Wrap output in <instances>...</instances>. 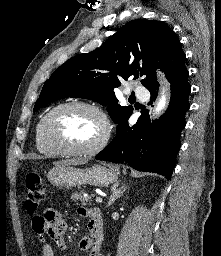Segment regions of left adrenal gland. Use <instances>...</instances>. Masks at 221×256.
I'll return each instance as SVG.
<instances>
[{
  "label": "left adrenal gland",
  "instance_id": "obj_1",
  "mask_svg": "<svg viewBox=\"0 0 221 256\" xmlns=\"http://www.w3.org/2000/svg\"><path fill=\"white\" fill-rule=\"evenodd\" d=\"M126 189H127L126 185H122L121 187H119V183L118 182L115 183L113 185V187L111 188L112 193H111V196L109 198L107 207L111 206L114 203V201L118 197H120Z\"/></svg>",
  "mask_w": 221,
  "mask_h": 256
}]
</instances>
